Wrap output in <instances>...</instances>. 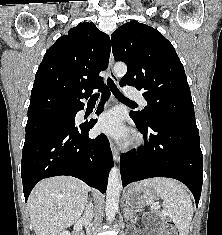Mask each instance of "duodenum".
Masks as SVG:
<instances>
[{
  "label": "duodenum",
  "mask_w": 222,
  "mask_h": 235,
  "mask_svg": "<svg viewBox=\"0 0 222 235\" xmlns=\"http://www.w3.org/2000/svg\"><path fill=\"white\" fill-rule=\"evenodd\" d=\"M73 235H81L80 231H75Z\"/></svg>",
  "instance_id": "duodenum-1"
}]
</instances>
